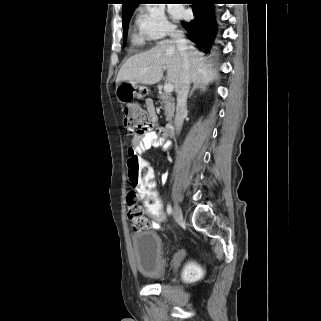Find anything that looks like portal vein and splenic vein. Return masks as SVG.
<instances>
[{"mask_svg": "<svg viewBox=\"0 0 321 321\" xmlns=\"http://www.w3.org/2000/svg\"><path fill=\"white\" fill-rule=\"evenodd\" d=\"M173 91V84L168 82L164 85V92L171 93Z\"/></svg>", "mask_w": 321, "mask_h": 321, "instance_id": "1", "label": "portal vein and splenic vein"}]
</instances>
